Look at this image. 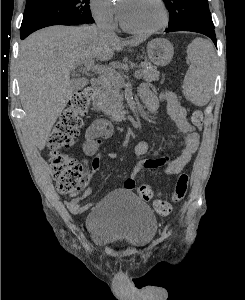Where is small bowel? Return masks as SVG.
Returning <instances> with one entry per match:
<instances>
[{
	"label": "small bowel",
	"mask_w": 245,
	"mask_h": 300,
	"mask_svg": "<svg viewBox=\"0 0 245 300\" xmlns=\"http://www.w3.org/2000/svg\"><path fill=\"white\" fill-rule=\"evenodd\" d=\"M140 96L144 100L148 110L156 111L161 102H166L167 110L171 119L176 123L180 132L184 135L183 150L181 154L175 158H157L137 160L132 167L130 175L124 181V189L132 191L135 186V179L144 169L164 168V174L167 177L178 175L184 167L190 162L193 154L199 147L200 136L196 127L191 124L187 118L185 108L180 104L177 95L171 91H163L156 95L150 87L143 85L139 90ZM113 133V125L107 119H97L87 128L85 132V140L83 142V152L86 156H94L92 161V172L90 178L94 177L99 168L100 156L98 150L103 140L109 138ZM149 142L140 141L134 147V154L137 158L142 157L149 151ZM111 159H117L119 155L115 152L108 153ZM91 191L87 189L84 197L89 196ZM67 208L73 214H81L85 212L90 204H80L79 200L72 199L66 203Z\"/></svg>",
	"instance_id": "obj_1"
}]
</instances>
